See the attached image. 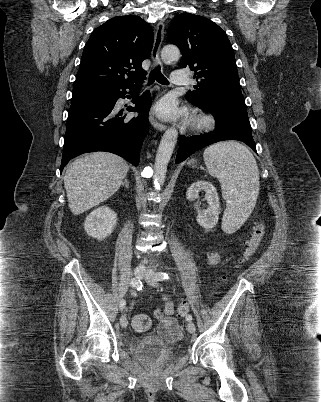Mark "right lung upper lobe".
<instances>
[{
  "label": "right lung upper lobe",
  "mask_w": 321,
  "mask_h": 402,
  "mask_svg": "<svg viewBox=\"0 0 321 402\" xmlns=\"http://www.w3.org/2000/svg\"><path fill=\"white\" fill-rule=\"evenodd\" d=\"M153 39L152 28L138 16L108 20L86 43L74 86L141 83L147 74L141 64L150 56Z\"/></svg>",
  "instance_id": "obj_1"
}]
</instances>
